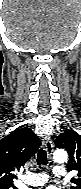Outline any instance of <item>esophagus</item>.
Here are the masks:
<instances>
[{
  "label": "esophagus",
  "mask_w": 81,
  "mask_h": 189,
  "mask_svg": "<svg viewBox=\"0 0 81 189\" xmlns=\"http://www.w3.org/2000/svg\"><path fill=\"white\" fill-rule=\"evenodd\" d=\"M43 145L45 147V150L48 154V157L51 158L52 157V153H53V143L51 141L50 138H46L44 141H43Z\"/></svg>",
  "instance_id": "1"
}]
</instances>
